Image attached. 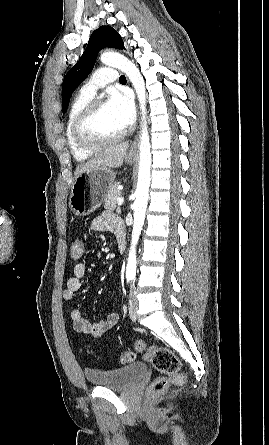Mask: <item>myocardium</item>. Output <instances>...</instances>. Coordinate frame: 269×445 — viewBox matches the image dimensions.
Wrapping results in <instances>:
<instances>
[{"label": "myocardium", "instance_id": "1", "mask_svg": "<svg viewBox=\"0 0 269 445\" xmlns=\"http://www.w3.org/2000/svg\"><path fill=\"white\" fill-rule=\"evenodd\" d=\"M105 103L101 98L92 99L76 115L72 124V137L79 147L86 150H97L102 146L121 140L127 134V129L112 136H97L91 132L90 125Z\"/></svg>", "mask_w": 269, "mask_h": 445}]
</instances>
